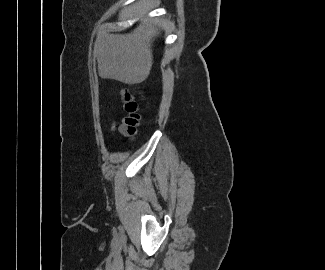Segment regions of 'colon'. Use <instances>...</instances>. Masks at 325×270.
Listing matches in <instances>:
<instances>
[{"instance_id":"1","label":"colon","mask_w":325,"mask_h":270,"mask_svg":"<svg viewBox=\"0 0 325 270\" xmlns=\"http://www.w3.org/2000/svg\"><path fill=\"white\" fill-rule=\"evenodd\" d=\"M121 96L128 116L122 121L119 130L125 135L133 136L136 134L140 122L139 99L128 89H122Z\"/></svg>"}]
</instances>
